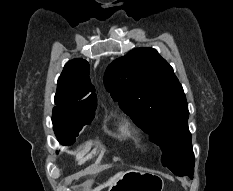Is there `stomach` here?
I'll list each match as a JSON object with an SVG mask.
<instances>
[{
  "label": "stomach",
  "instance_id": "obj_1",
  "mask_svg": "<svg viewBox=\"0 0 233 191\" xmlns=\"http://www.w3.org/2000/svg\"><path fill=\"white\" fill-rule=\"evenodd\" d=\"M162 178L150 172L130 169L121 174L108 191H163Z\"/></svg>",
  "mask_w": 233,
  "mask_h": 191
}]
</instances>
